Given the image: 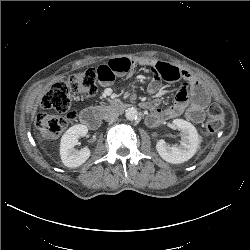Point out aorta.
<instances>
[{
  "label": "aorta",
  "mask_w": 250,
  "mask_h": 250,
  "mask_svg": "<svg viewBox=\"0 0 250 250\" xmlns=\"http://www.w3.org/2000/svg\"><path fill=\"white\" fill-rule=\"evenodd\" d=\"M125 117L128 120H136L138 118V111L134 107H130L125 111Z\"/></svg>",
  "instance_id": "obj_1"
}]
</instances>
